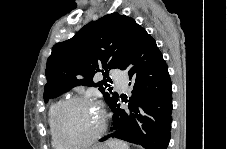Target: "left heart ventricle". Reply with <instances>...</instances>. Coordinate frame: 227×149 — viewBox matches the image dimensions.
<instances>
[{
	"label": "left heart ventricle",
	"instance_id": "1",
	"mask_svg": "<svg viewBox=\"0 0 227 149\" xmlns=\"http://www.w3.org/2000/svg\"><path fill=\"white\" fill-rule=\"evenodd\" d=\"M100 121V112L94 104L73 103L62 113L61 134L68 141L84 140L97 131Z\"/></svg>",
	"mask_w": 227,
	"mask_h": 149
}]
</instances>
